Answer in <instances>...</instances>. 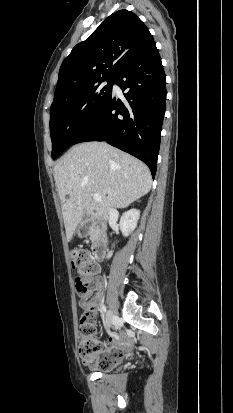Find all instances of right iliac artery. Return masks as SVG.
I'll return each mask as SVG.
<instances>
[{
    "label": "right iliac artery",
    "instance_id": "right-iliac-artery-1",
    "mask_svg": "<svg viewBox=\"0 0 233 413\" xmlns=\"http://www.w3.org/2000/svg\"><path fill=\"white\" fill-rule=\"evenodd\" d=\"M101 312H102L103 315H105V313H106V307H105V305H102V306H101Z\"/></svg>",
    "mask_w": 233,
    "mask_h": 413
}]
</instances>
